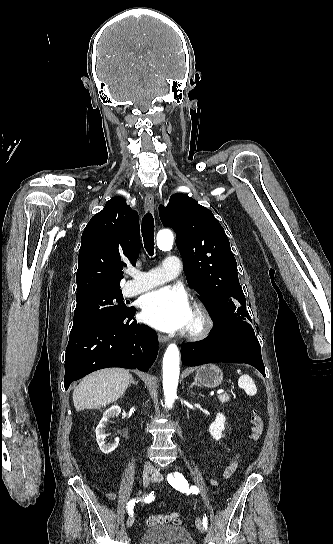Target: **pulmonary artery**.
Returning <instances> with one entry per match:
<instances>
[{
    "label": "pulmonary artery",
    "instance_id": "e3ab8cb5",
    "mask_svg": "<svg viewBox=\"0 0 333 544\" xmlns=\"http://www.w3.org/2000/svg\"><path fill=\"white\" fill-rule=\"evenodd\" d=\"M181 271V261L176 256H168L161 266L147 272H134L133 280L126 285V294L134 296L175 278Z\"/></svg>",
    "mask_w": 333,
    "mask_h": 544
}]
</instances>
